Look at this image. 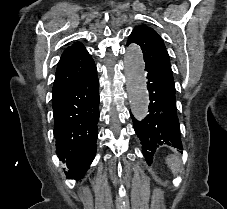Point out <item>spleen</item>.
Wrapping results in <instances>:
<instances>
[{
	"instance_id": "1",
	"label": "spleen",
	"mask_w": 227,
	"mask_h": 209,
	"mask_svg": "<svg viewBox=\"0 0 227 209\" xmlns=\"http://www.w3.org/2000/svg\"><path fill=\"white\" fill-rule=\"evenodd\" d=\"M166 163L169 169H171L172 173H174V175H177L180 167L179 157H176V155H170V157H166Z\"/></svg>"
}]
</instances>
